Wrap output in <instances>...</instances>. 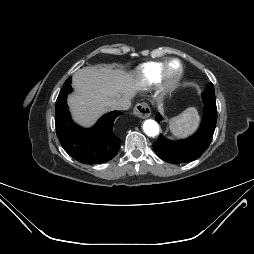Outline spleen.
<instances>
[{"instance_id":"3e777b00","label":"spleen","mask_w":254,"mask_h":254,"mask_svg":"<svg viewBox=\"0 0 254 254\" xmlns=\"http://www.w3.org/2000/svg\"><path fill=\"white\" fill-rule=\"evenodd\" d=\"M200 117L194 107H189L178 116L169 120L172 134L177 138H185L193 133L199 124Z\"/></svg>"}]
</instances>
